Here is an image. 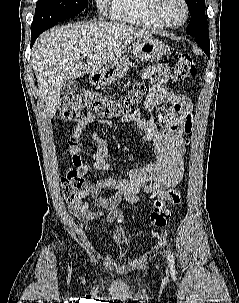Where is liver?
<instances>
[{
  "instance_id": "liver-1",
  "label": "liver",
  "mask_w": 239,
  "mask_h": 303,
  "mask_svg": "<svg viewBox=\"0 0 239 303\" xmlns=\"http://www.w3.org/2000/svg\"><path fill=\"white\" fill-rule=\"evenodd\" d=\"M148 35L125 23L106 21L56 26L40 35L32 50V63L49 117L56 113L64 80L107 65L130 42Z\"/></svg>"
}]
</instances>
